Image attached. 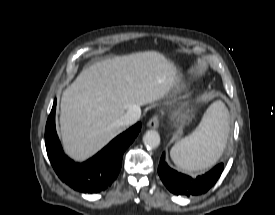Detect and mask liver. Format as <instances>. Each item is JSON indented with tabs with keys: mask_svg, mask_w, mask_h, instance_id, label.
<instances>
[{
	"mask_svg": "<svg viewBox=\"0 0 275 215\" xmlns=\"http://www.w3.org/2000/svg\"><path fill=\"white\" fill-rule=\"evenodd\" d=\"M173 62L157 51L115 56L85 68L61 98L65 152L83 161L126 129L118 120L134 106L165 97L179 82Z\"/></svg>",
	"mask_w": 275,
	"mask_h": 215,
	"instance_id": "liver-1",
	"label": "liver"
}]
</instances>
